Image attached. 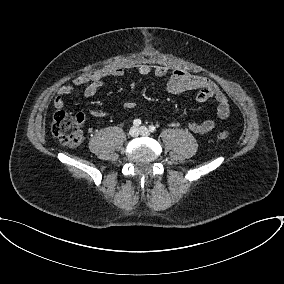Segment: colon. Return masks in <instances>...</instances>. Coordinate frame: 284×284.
Returning <instances> with one entry per match:
<instances>
[{
	"label": "colon",
	"mask_w": 284,
	"mask_h": 284,
	"mask_svg": "<svg viewBox=\"0 0 284 284\" xmlns=\"http://www.w3.org/2000/svg\"><path fill=\"white\" fill-rule=\"evenodd\" d=\"M83 119L80 115H72L64 111H58L54 114L51 131L53 136L61 143L76 146L83 140V133L80 125ZM227 131H220L218 133L219 139L228 138Z\"/></svg>",
	"instance_id": "colon-1"
}]
</instances>
